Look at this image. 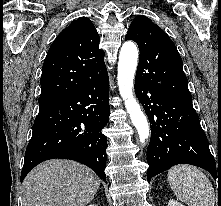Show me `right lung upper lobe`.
I'll return each instance as SVG.
<instances>
[{
	"label": "right lung upper lobe",
	"instance_id": "right-lung-upper-lobe-1",
	"mask_svg": "<svg viewBox=\"0 0 221 206\" xmlns=\"http://www.w3.org/2000/svg\"><path fill=\"white\" fill-rule=\"evenodd\" d=\"M99 41L87 17L74 20L57 36L43 63L39 105L74 93L107 73Z\"/></svg>",
	"mask_w": 221,
	"mask_h": 206
}]
</instances>
